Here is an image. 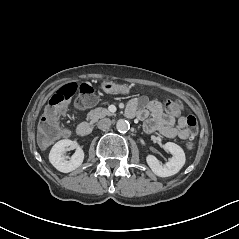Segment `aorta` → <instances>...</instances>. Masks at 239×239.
<instances>
[{"instance_id":"1","label":"aorta","mask_w":239,"mask_h":239,"mask_svg":"<svg viewBox=\"0 0 239 239\" xmlns=\"http://www.w3.org/2000/svg\"><path fill=\"white\" fill-rule=\"evenodd\" d=\"M116 128L119 132H126L129 129V122L125 119H119Z\"/></svg>"}]
</instances>
